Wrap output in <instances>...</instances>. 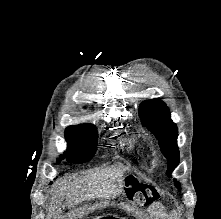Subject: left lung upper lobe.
<instances>
[{
	"label": "left lung upper lobe",
	"instance_id": "left-lung-upper-lobe-1",
	"mask_svg": "<svg viewBox=\"0 0 221 219\" xmlns=\"http://www.w3.org/2000/svg\"><path fill=\"white\" fill-rule=\"evenodd\" d=\"M139 115L142 124L146 126L159 140L161 152L167 158V174L171 177V172L179 164V151L177 147L178 130L170 118V111L166 104L159 100H146L139 106ZM180 190L178 181L174 182Z\"/></svg>",
	"mask_w": 221,
	"mask_h": 219
}]
</instances>
